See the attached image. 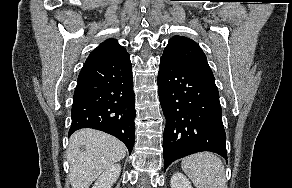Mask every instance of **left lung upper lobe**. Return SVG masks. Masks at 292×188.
<instances>
[{
	"mask_svg": "<svg viewBox=\"0 0 292 188\" xmlns=\"http://www.w3.org/2000/svg\"><path fill=\"white\" fill-rule=\"evenodd\" d=\"M162 57L202 75L214 78L204 52L195 41L187 37L173 36Z\"/></svg>",
	"mask_w": 292,
	"mask_h": 188,
	"instance_id": "obj_1",
	"label": "left lung upper lobe"
}]
</instances>
